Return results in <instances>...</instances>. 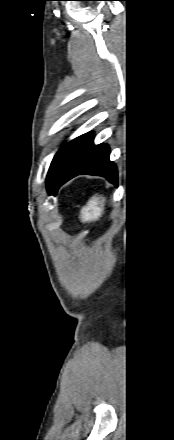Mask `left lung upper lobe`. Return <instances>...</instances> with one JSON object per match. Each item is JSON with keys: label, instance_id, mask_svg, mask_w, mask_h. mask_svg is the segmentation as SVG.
Segmentation results:
<instances>
[{"label": "left lung upper lobe", "instance_id": "5c2ea615", "mask_svg": "<svg viewBox=\"0 0 174 440\" xmlns=\"http://www.w3.org/2000/svg\"><path fill=\"white\" fill-rule=\"evenodd\" d=\"M79 138V137H78ZM78 138L70 141L66 145H64L54 156V159L50 165L48 176H47V189L49 193H52L53 185L57 179V177L60 175L62 170L67 164V161L70 157V154L78 140Z\"/></svg>", "mask_w": 174, "mask_h": 440}]
</instances>
